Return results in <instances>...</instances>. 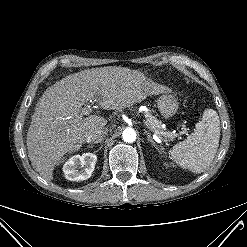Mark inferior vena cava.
<instances>
[{
    "mask_svg": "<svg viewBox=\"0 0 247 247\" xmlns=\"http://www.w3.org/2000/svg\"><path fill=\"white\" fill-rule=\"evenodd\" d=\"M107 131L104 128L97 129L90 133L87 138L86 142L90 144H97L104 140Z\"/></svg>",
    "mask_w": 247,
    "mask_h": 247,
    "instance_id": "602c4592",
    "label": "inferior vena cava"
}]
</instances>
